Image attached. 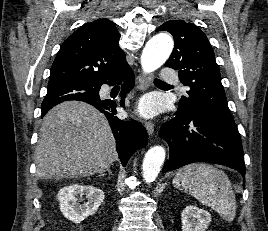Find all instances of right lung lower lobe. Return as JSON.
<instances>
[{
  "mask_svg": "<svg viewBox=\"0 0 268 231\" xmlns=\"http://www.w3.org/2000/svg\"><path fill=\"white\" fill-rule=\"evenodd\" d=\"M124 81L120 105H124V99L126 93L131 90L134 86V73L127 64L118 74L109 81L105 82L108 85H114L118 81ZM101 86H98V95L92 98L80 99L81 101L87 102L102 112L108 119L111 126L113 135L116 139V149L123 166L130 156L140 148L147 145L148 135L144 126L137 121H123L118 119L115 114L116 102L114 100H100L99 90ZM49 110V109H48ZM48 110H42V116H44Z\"/></svg>",
  "mask_w": 268,
  "mask_h": 231,
  "instance_id": "obj_1",
  "label": "right lung lower lobe"
}]
</instances>
